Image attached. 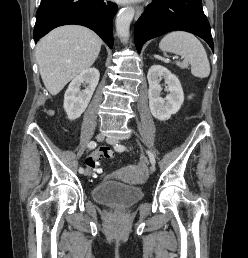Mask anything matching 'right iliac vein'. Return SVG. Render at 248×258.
Returning <instances> with one entry per match:
<instances>
[{"mask_svg":"<svg viewBox=\"0 0 248 258\" xmlns=\"http://www.w3.org/2000/svg\"><path fill=\"white\" fill-rule=\"evenodd\" d=\"M105 137H106V134H105V133H99V134L97 135L96 139H97V141L101 142V141H103V140L105 139ZM84 175H89V170H88V169H86V170L84 171Z\"/></svg>","mask_w":248,"mask_h":258,"instance_id":"obj_1","label":"right iliac vein"}]
</instances>
